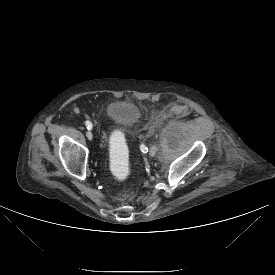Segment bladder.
Returning <instances> with one entry per match:
<instances>
[{
	"label": "bladder",
	"mask_w": 275,
	"mask_h": 275,
	"mask_svg": "<svg viewBox=\"0 0 275 275\" xmlns=\"http://www.w3.org/2000/svg\"><path fill=\"white\" fill-rule=\"evenodd\" d=\"M107 119L114 125L129 129L136 125L141 116L139 106L130 100H114L105 108Z\"/></svg>",
	"instance_id": "obj_1"
}]
</instances>
